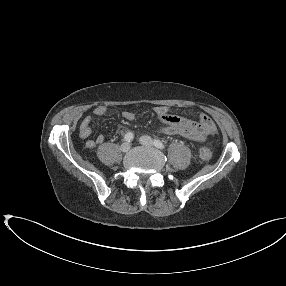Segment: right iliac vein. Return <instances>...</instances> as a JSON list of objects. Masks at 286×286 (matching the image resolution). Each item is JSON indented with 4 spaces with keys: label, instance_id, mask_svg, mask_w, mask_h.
Returning a JSON list of instances; mask_svg holds the SVG:
<instances>
[{
    "label": "right iliac vein",
    "instance_id": "right-iliac-vein-1",
    "mask_svg": "<svg viewBox=\"0 0 286 286\" xmlns=\"http://www.w3.org/2000/svg\"><path fill=\"white\" fill-rule=\"evenodd\" d=\"M122 152H128L130 149V144L128 142H125L120 147Z\"/></svg>",
    "mask_w": 286,
    "mask_h": 286
}]
</instances>
